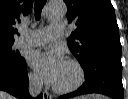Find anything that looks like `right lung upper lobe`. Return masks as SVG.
<instances>
[{"label": "right lung upper lobe", "instance_id": "cb5924a9", "mask_svg": "<svg viewBox=\"0 0 128 99\" xmlns=\"http://www.w3.org/2000/svg\"><path fill=\"white\" fill-rule=\"evenodd\" d=\"M33 0H0V43L14 42V25L32 9Z\"/></svg>", "mask_w": 128, "mask_h": 99}]
</instances>
